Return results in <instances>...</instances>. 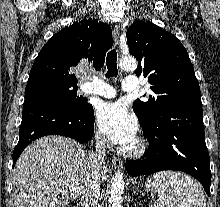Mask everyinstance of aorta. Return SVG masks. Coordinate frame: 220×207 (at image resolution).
Here are the masks:
<instances>
[{"instance_id":"762f6f07","label":"aorta","mask_w":220,"mask_h":207,"mask_svg":"<svg viewBox=\"0 0 220 207\" xmlns=\"http://www.w3.org/2000/svg\"><path fill=\"white\" fill-rule=\"evenodd\" d=\"M119 66L123 70L134 71L137 68V61L134 57L125 56L120 59ZM124 187H125V182L123 178V173L118 171L117 173H115L110 187V196H109L110 207H123L122 195H123Z\"/></svg>"}]
</instances>
